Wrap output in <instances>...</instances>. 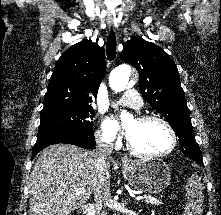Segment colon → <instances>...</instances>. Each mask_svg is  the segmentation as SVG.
Returning <instances> with one entry per match:
<instances>
[{"instance_id":"1","label":"colon","mask_w":221,"mask_h":215,"mask_svg":"<svg viewBox=\"0 0 221 215\" xmlns=\"http://www.w3.org/2000/svg\"><path fill=\"white\" fill-rule=\"evenodd\" d=\"M186 204L182 215H202L203 212V189L199 176H189L186 186Z\"/></svg>"}]
</instances>
